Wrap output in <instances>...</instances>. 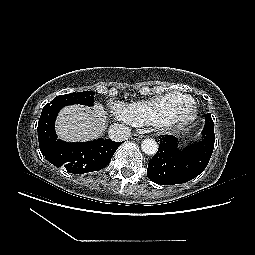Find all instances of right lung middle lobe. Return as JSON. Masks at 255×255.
Segmentation results:
<instances>
[{
  "label": "right lung middle lobe",
  "instance_id": "obj_1",
  "mask_svg": "<svg viewBox=\"0 0 255 255\" xmlns=\"http://www.w3.org/2000/svg\"><path fill=\"white\" fill-rule=\"evenodd\" d=\"M94 103V92L84 91L77 93H70L66 95H59L47 104L39 119L38 128L45 131L50 130L54 126L56 116L61 108L72 104H81L92 106Z\"/></svg>",
  "mask_w": 255,
  "mask_h": 255
}]
</instances>
